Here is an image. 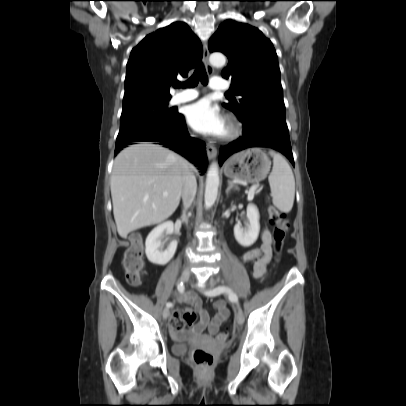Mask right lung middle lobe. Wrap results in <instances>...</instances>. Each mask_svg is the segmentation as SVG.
Listing matches in <instances>:
<instances>
[{
  "mask_svg": "<svg viewBox=\"0 0 406 406\" xmlns=\"http://www.w3.org/2000/svg\"><path fill=\"white\" fill-rule=\"evenodd\" d=\"M169 99L143 100L123 106L118 137L153 131L171 124L178 116L168 108Z\"/></svg>",
  "mask_w": 406,
  "mask_h": 406,
  "instance_id": "1",
  "label": "right lung middle lobe"
}]
</instances>
